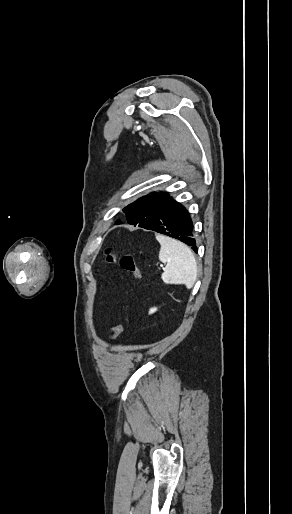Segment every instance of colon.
<instances>
[{"label":"colon","mask_w":292,"mask_h":514,"mask_svg":"<svg viewBox=\"0 0 292 514\" xmlns=\"http://www.w3.org/2000/svg\"><path fill=\"white\" fill-rule=\"evenodd\" d=\"M104 256L108 263L115 264L118 263L119 266L124 270L125 272L134 275L139 276L140 269L137 266L134 256L132 254H118L113 248L107 247L104 249ZM125 330V324L119 323L117 325H112L109 328L108 336L109 339L114 340L118 338L123 331Z\"/></svg>","instance_id":"obj_1"}]
</instances>
